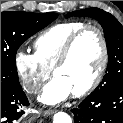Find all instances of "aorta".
<instances>
[{
	"instance_id": "762f6f07",
	"label": "aorta",
	"mask_w": 123,
	"mask_h": 123,
	"mask_svg": "<svg viewBox=\"0 0 123 123\" xmlns=\"http://www.w3.org/2000/svg\"><path fill=\"white\" fill-rule=\"evenodd\" d=\"M53 123H72V119L65 112H57L53 116Z\"/></svg>"
}]
</instances>
